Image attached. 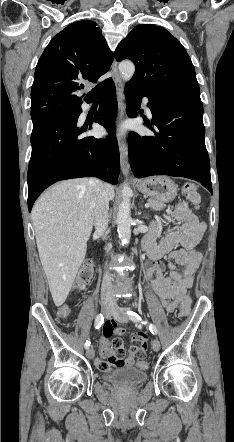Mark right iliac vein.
I'll return each instance as SVG.
<instances>
[{
	"mask_svg": "<svg viewBox=\"0 0 234 442\" xmlns=\"http://www.w3.org/2000/svg\"><path fill=\"white\" fill-rule=\"evenodd\" d=\"M101 306H102V311H103L105 317H109L110 313H111V309H112V305H111L110 301L103 300L101 303ZM94 355H95V352H94L93 348H88L86 351V356L89 359H92L94 357Z\"/></svg>",
	"mask_w": 234,
	"mask_h": 442,
	"instance_id": "1",
	"label": "right iliac vein"
}]
</instances>
